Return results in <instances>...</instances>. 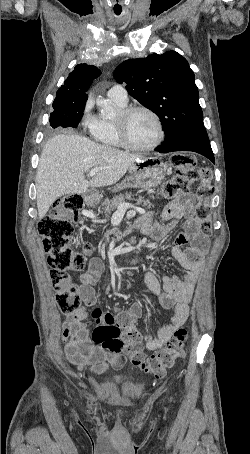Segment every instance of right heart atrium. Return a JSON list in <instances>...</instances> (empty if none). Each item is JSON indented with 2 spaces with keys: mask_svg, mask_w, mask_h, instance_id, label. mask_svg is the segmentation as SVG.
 Instances as JSON below:
<instances>
[{
  "mask_svg": "<svg viewBox=\"0 0 250 454\" xmlns=\"http://www.w3.org/2000/svg\"><path fill=\"white\" fill-rule=\"evenodd\" d=\"M83 125L86 129L91 131L95 126V117L90 113V104L87 103L85 106V113L83 116Z\"/></svg>",
  "mask_w": 250,
  "mask_h": 454,
  "instance_id": "1",
  "label": "right heart atrium"
}]
</instances>
